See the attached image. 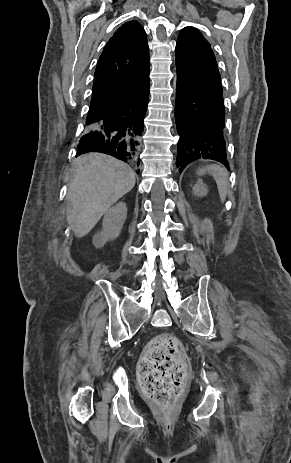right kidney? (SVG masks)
Wrapping results in <instances>:
<instances>
[{
	"instance_id": "obj_1",
	"label": "right kidney",
	"mask_w": 291,
	"mask_h": 463,
	"mask_svg": "<svg viewBox=\"0 0 291 463\" xmlns=\"http://www.w3.org/2000/svg\"><path fill=\"white\" fill-rule=\"evenodd\" d=\"M127 217V207L124 202H119L107 210L102 222V231L97 232L92 239L97 248L104 246L109 240L116 239L121 232Z\"/></svg>"
}]
</instances>
